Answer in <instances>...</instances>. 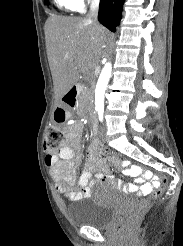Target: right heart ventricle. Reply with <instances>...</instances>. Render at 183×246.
Instances as JSON below:
<instances>
[{"label":"right heart ventricle","instance_id":"right-heart-ventricle-1","mask_svg":"<svg viewBox=\"0 0 183 246\" xmlns=\"http://www.w3.org/2000/svg\"><path fill=\"white\" fill-rule=\"evenodd\" d=\"M57 8L63 11H76L78 7L73 0H53Z\"/></svg>","mask_w":183,"mask_h":246}]
</instances>
